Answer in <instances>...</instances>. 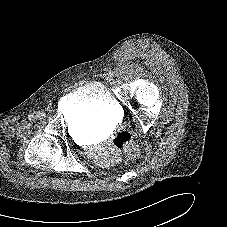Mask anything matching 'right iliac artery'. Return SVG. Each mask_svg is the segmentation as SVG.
<instances>
[{
  "mask_svg": "<svg viewBox=\"0 0 227 227\" xmlns=\"http://www.w3.org/2000/svg\"><path fill=\"white\" fill-rule=\"evenodd\" d=\"M28 118H29V120H33V119H35V115H33V114L32 115H29Z\"/></svg>",
  "mask_w": 227,
  "mask_h": 227,
  "instance_id": "1",
  "label": "right iliac artery"
}]
</instances>
